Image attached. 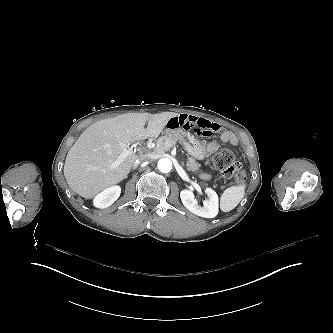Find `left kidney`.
Masks as SVG:
<instances>
[{
  "label": "left kidney",
  "mask_w": 333,
  "mask_h": 333,
  "mask_svg": "<svg viewBox=\"0 0 333 333\" xmlns=\"http://www.w3.org/2000/svg\"><path fill=\"white\" fill-rule=\"evenodd\" d=\"M205 193L208 195V199L204 201L203 206L198 205L194 192L190 189L181 190L180 199L184 207L191 213L204 218H214L219 212L218 196L211 188H207Z\"/></svg>",
  "instance_id": "obj_1"
}]
</instances>
